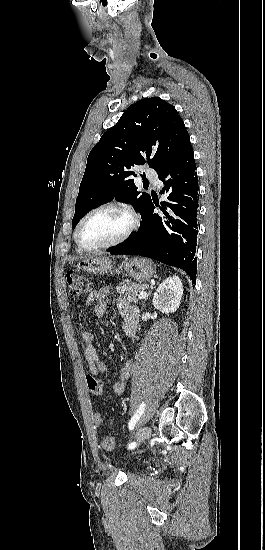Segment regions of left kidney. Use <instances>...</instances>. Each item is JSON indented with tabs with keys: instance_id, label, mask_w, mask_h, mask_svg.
Segmentation results:
<instances>
[{
	"instance_id": "1",
	"label": "left kidney",
	"mask_w": 265,
	"mask_h": 550,
	"mask_svg": "<svg viewBox=\"0 0 265 550\" xmlns=\"http://www.w3.org/2000/svg\"><path fill=\"white\" fill-rule=\"evenodd\" d=\"M182 295L181 279L178 276L168 277L154 293L153 305L162 313H174L180 306Z\"/></svg>"
}]
</instances>
